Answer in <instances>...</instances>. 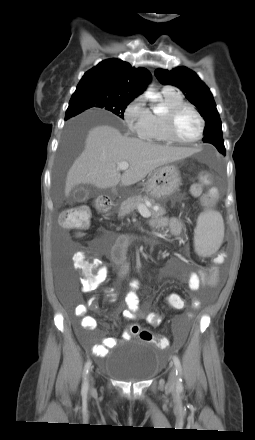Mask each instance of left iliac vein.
Wrapping results in <instances>:
<instances>
[{"label": "left iliac vein", "mask_w": 255, "mask_h": 440, "mask_svg": "<svg viewBox=\"0 0 255 440\" xmlns=\"http://www.w3.org/2000/svg\"><path fill=\"white\" fill-rule=\"evenodd\" d=\"M167 387L171 391H173L176 388V373H175V368L174 367L171 369V372H170V375H169V379H168V383H167Z\"/></svg>", "instance_id": "obj_1"}]
</instances>
